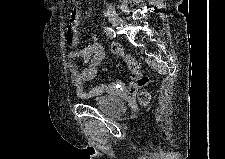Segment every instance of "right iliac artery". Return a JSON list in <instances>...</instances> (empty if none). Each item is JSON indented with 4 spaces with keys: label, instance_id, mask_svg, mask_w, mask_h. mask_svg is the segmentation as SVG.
I'll return each mask as SVG.
<instances>
[{
    "label": "right iliac artery",
    "instance_id": "right-iliac-artery-1",
    "mask_svg": "<svg viewBox=\"0 0 225 159\" xmlns=\"http://www.w3.org/2000/svg\"><path fill=\"white\" fill-rule=\"evenodd\" d=\"M104 32L111 39L116 37L115 31L110 27H104Z\"/></svg>",
    "mask_w": 225,
    "mask_h": 159
}]
</instances>
